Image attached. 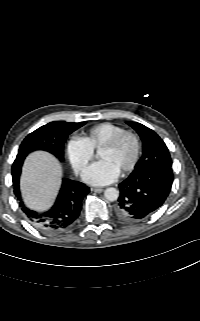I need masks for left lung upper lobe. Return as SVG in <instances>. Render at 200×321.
Returning a JSON list of instances; mask_svg holds the SVG:
<instances>
[{
  "label": "left lung upper lobe",
  "instance_id": "left-lung-upper-lobe-1",
  "mask_svg": "<svg viewBox=\"0 0 200 321\" xmlns=\"http://www.w3.org/2000/svg\"><path fill=\"white\" fill-rule=\"evenodd\" d=\"M143 142V154L135 169L153 166L170 167L172 160L163 140L150 128L136 122H127Z\"/></svg>",
  "mask_w": 200,
  "mask_h": 321
}]
</instances>
